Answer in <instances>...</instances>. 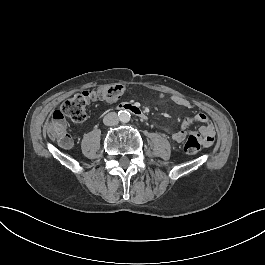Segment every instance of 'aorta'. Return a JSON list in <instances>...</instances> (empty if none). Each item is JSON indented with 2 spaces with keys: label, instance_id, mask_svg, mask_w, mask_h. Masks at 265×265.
Segmentation results:
<instances>
[{
  "label": "aorta",
  "instance_id": "obj_1",
  "mask_svg": "<svg viewBox=\"0 0 265 265\" xmlns=\"http://www.w3.org/2000/svg\"><path fill=\"white\" fill-rule=\"evenodd\" d=\"M119 120L122 123H127L130 121V113L128 111H122L119 113Z\"/></svg>",
  "mask_w": 265,
  "mask_h": 265
}]
</instances>
